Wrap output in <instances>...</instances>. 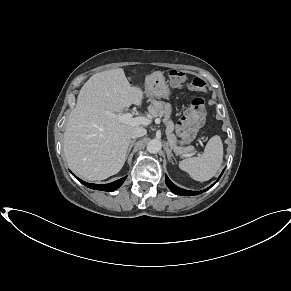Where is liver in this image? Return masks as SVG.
<instances>
[{
    "instance_id": "obj_1",
    "label": "liver",
    "mask_w": 291,
    "mask_h": 291,
    "mask_svg": "<svg viewBox=\"0 0 291 291\" xmlns=\"http://www.w3.org/2000/svg\"><path fill=\"white\" fill-rule=\"evenodd\" d=\"M142 89L131 87L122 68L96 73L81 88L64 132L69 167L81 177L104 180L124 165L135 126L110 117L124 108L142 105Z\"/></svg>"
}]
</instances>
